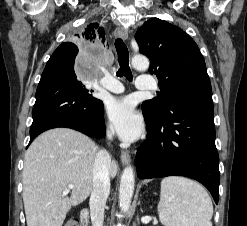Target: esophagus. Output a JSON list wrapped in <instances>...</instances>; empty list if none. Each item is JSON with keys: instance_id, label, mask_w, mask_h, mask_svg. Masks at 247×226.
Returning <instances> with one entry per match:
<instances>
[{"instance_id": "1", "label": "esophagus", "mask_w": 247, "mask_h": 226, "mask_svg": "<svg viewBox=\"0 0 247 226\" xmlns=\"http://www.w3.org/2000/svg\"><path fill=\"white\" fill-rule=\"evenodd\" d=\"M115 36L121 37L123 40H126L128 38V31L125 28L119 26L115 30ZM120 158H121V162L123 165L129 164L131 161V157H130L129 153L126 151L121 152Z\"/></svg>"}]
</instances>
